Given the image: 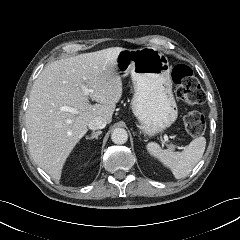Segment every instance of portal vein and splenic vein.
Wrapping results in <instances>:
<instances>
[{
    "label": "portal vein and splenic vein",
    "instance_id": "18ae733b",
    "mask_svg": "<svg viewBox=\"0 0 240 240\" xmlns=\"http://www.w3.org/2000/svg\"><path fill=\"white\" fill-rule=\"evenodd\" d=\"M83 88V91H84V94L85 95H88L90 92H93L92 90L90 89H87L86 87H82ZM61 111H66V112H71V113H74L76 114L77 113V110H75L74 108L72 107H68V106H63L60 108ZM164 140L165 142H169V137L167 134H164Z\"/></svg>",
    "mask_w": 240,
    "mask_h": 240
}]
</instances>
